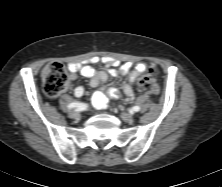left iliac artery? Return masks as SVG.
Instances as JSON below:
<instances>
[{
  "label": "left iliac artery",
  "mask_w": 222,
  "mask_h": 187,
  "mask_svg": "<svg viewBox=\"0 0 222 187\" xmlns=\"http://www.w3.org/2000/svg\"><path fill=\"white\" fill-rule=\"evenodd\" d=\"M140 111V107L139 106H134L130 109V112L133 113V112H138Z\"/></svg>",
  "instance_id": "obj_1"
}]
</instances>
